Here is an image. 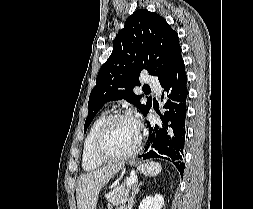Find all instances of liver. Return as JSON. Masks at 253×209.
I'll return each instance as SVG.
<instances>
[{
	"label": "liver",
	"instance_id": "obj_1",
	"mask_svg": "<svg viewBox=\"0 0 253 209\" xmlns=\"http://www.w3.org/2000/svg\"><path fill=\"white\" fill-rule=\"evenodd\" d=\"M120 169L121 165H110L81 175L76 187L77 208L96 209L101 188Z\"/></svg>",
	"mask_w": 253,
	"mask_h": 209
}]
</instances>
